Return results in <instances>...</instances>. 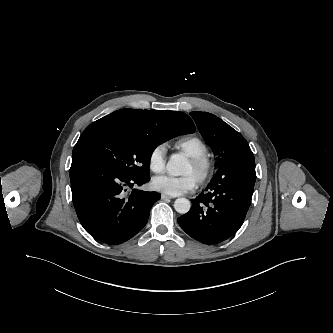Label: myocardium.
I'll list each match as a JSON object with an SVG mask.
<instances>
[{
    "mask_svg": "<svg viewBox=\"0 0 333 333\" xmlns=\"http://www.w3.org/2000/svg\"><path fill=\"white\" fill-rule=\"evenodd\" d=\"M189 161L196 170V180L199 184L209 180L214 171V163L208 155L190 157Z\"/></svg>",
    "mask_w": 333,
    "mask_h": 333,
    "instance_id": "f54148a6",
    "label": "myocardium"
}]
</instances>
